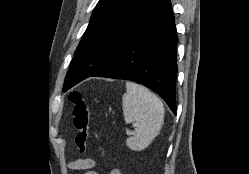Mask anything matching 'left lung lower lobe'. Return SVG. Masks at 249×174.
<instances>
[{
  "label": "left lung lower lobe",
  "instance_id": "1",
  "mask_svg": "<svg viewBox=\"0 0 249 174\" xmlns=\"http://www.w3.org/2000/svg\"><path fill=\"white\" fill-rule=\"evenodd\" d=\"M177 43L171 3L167 0L120 52L91 76L126 79L142 84L160 95L176 115ZM82 80H76L72 87Z\"/></svg>",
  "mask_w": 249,
  "mask_h": 174
}]
</instances>
